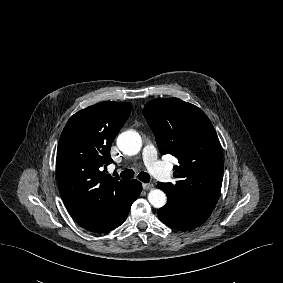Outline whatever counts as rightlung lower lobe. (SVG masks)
<instances>
[{
    "mask_svg": "<svg viewBox=\"0 0 283 283\" xmlns=\"http://www.w3.org/2000/svg\"><path fill=\"white\" fill-rule=\"evenodd\" d=\"M133 188L126 197L124 203L119 207L117 212L102 224L88 229L91 232L103 233L120 226L127 218L132 203L137 199L142 191V185L137 180H132Z\"/></svg>",
    "mask_w": 283,
    "mask_h": 283,
    "instance_id": "1",
    "label": "right lung lower lobe"
}]
</instances>
